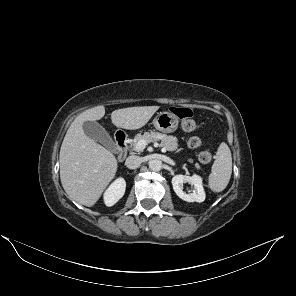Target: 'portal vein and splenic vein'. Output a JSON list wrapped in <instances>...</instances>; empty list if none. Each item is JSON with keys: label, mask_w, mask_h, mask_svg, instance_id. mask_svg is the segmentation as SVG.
Returning <instances> with one entry per match:
<instances>
[{"label": "portal vein and splenic vein", "mask_w": 296, "mask_h": 296, "mask_svg": "<svg viewBox=\"0 0 296 296\" xmlns=\"http://www.w3.org/2000/svg\"><path fill=\"white\" fill-rule=\"evenodd\" d=\"M146 145H147V142L145 140H140L135 145V150H137V151H143L145 149ZM162 152H166V149L163 148L162 149Z\"/></svg>", "instance_id": "portal-vein-and-splenic-vein-1"}]
</instances>
